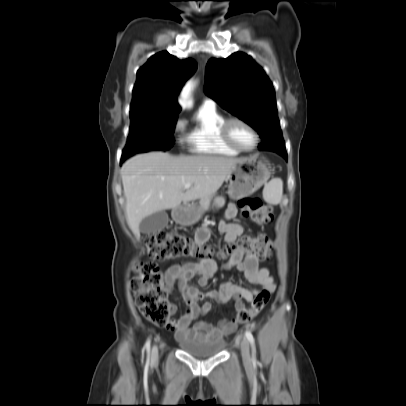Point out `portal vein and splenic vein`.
I'll return each instance as SVG.
<instances>
[{
  "mask_svg": "<svg viewBox=\"0 0 406 406\" xmlns=\"http://www.w3.org/2000/svg\"><path fill=\"white\" fill-rule=\"evenodd\" d=\"M191 187V184L190 183H187V184H185L184 185V189L186 190V189H189Z\"/></svg>",
  "mask_w": 406,
  "mask_h": 406,
  "instance_id": "18ae733b",
  "label": "portal vein and splenic vein"
}]
</instances>
